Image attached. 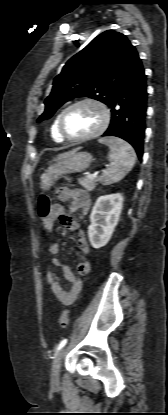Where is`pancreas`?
I'll return each instance as SVG.
<instances>
[{
	"instance_id": "1",
	"label": "pancreas",
	"mask_w": 168,
	"mask_h": 415,
	"mask_svg": "<svg viewBox=\"0 0 168 415\" xmlns=\"http://www.w3.org/2000/svg\"><path fill=\"white\" fill-rule=\"evenodd\" d=\"M78 182L86 190H93L96 187V185H97L98 179L97 178H91V177L86 176V177L80 178L78 180Z\"/></svg>"
}]
</instances>
